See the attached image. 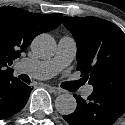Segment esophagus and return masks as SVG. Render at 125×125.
I'll return each instance as SVG.
<instances>
[{"mask_svg": "<svg viewBox=\"0 0 125 125\" xmlns=\"http://www.w3.org/2000/svg\"><path fill=\"white\" fill-rule=\"evenodd\" d=\"M49 89L51 92H53L55 95H59L62 93V90L55 86H49Z\"/></svg>", "mask_w": 125, "mask_h": 125, "instance_id": "34e87169", "label": "esophagus"}]
</instances>
